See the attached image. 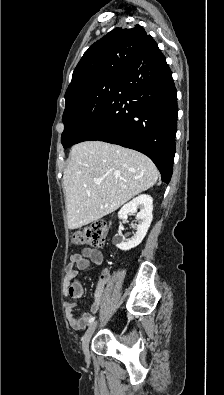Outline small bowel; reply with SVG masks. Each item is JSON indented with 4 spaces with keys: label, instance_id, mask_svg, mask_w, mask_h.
<instances>
[{
    "label": "small bowel",
    "instance_id": "c3829d8e",
    "mask_svg": "<svg viewBox=\"0 0 224 395\" xmlns=\"http://www.w3.org/2000/svg\"><path fill=\"white\" fill-rule=\"evenodd\" d=\"M102 262V252L94 248H86L83 250L82 254L72 255L66 266V294L76 301L81 300L83 297V287L81 281L78 279L79 272L88 269L91 263L95 265H101ZM109 279L110 274L108 272L103 273L96 286L93 300L90 304V312H85L82 314V316L77 317L74 315L76 303L72 301H68L65 303L66 316L70 326L73 329H83L89 323L92 314L97 312L102 293Z\"/></svg>",
    "mask_w": 224,
    "mask_h": 395
}]
</instances>
